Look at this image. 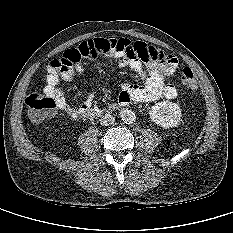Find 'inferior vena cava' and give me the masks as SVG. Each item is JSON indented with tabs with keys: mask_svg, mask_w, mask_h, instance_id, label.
Wrapping results in <instances>:
<instances>
[{
	"mask_svg": "<svg viewBox=\"0 0 233 233\" xmlns=\"http://www.w3.org/2000/svg\"><path fill=\"white\" fill-rule=\"evenodd\" d=\"M115 123V118L110 114H105L100 119V124L102 126H109Z\"/></svg>",
	"mask_w": 233,
	"mask_h": 233,
	"instance_id": "obj_1",
	"label": "inferior vena cava"
}]
</instances>
